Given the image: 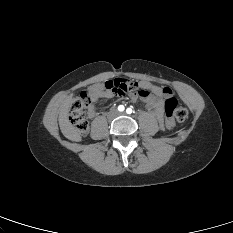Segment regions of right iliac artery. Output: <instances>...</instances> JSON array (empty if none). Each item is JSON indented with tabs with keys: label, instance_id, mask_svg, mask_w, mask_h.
<instances>
[{
	"label": "right iliac artery",
	"instance_id": "1",
	"mask_svg": "<svg viewBox=\"0 0 233 233\" xmlns=\"http://www.w3.org/2000/svg\"><path fill=\"white\" fill-rule=\"evenodd\" d=\"M124 109H125V108H124L123 105H119V106H118V111L122 112V111H124Z\"/></svg>",
	"mask_w": 233,
	"mask_h": 233
}]
</instances>
